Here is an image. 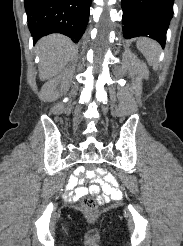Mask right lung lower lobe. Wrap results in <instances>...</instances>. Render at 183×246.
<instances>
[{"label": "right lung lower lobe", "mask_w": 183, "mask_h": 246, "mask_svg": "<svg viewBox=\"0 0 183 246\" xmlns=\"http://www.w3.org/2000/svg\"><path fill=\"white\" fill-rule=\"evenodd\" d=\"M91 0H24L28 27L34 43L60 33L77 43L89 19Z\"/></svg>", "instance_id": "1"}]
</instances>
